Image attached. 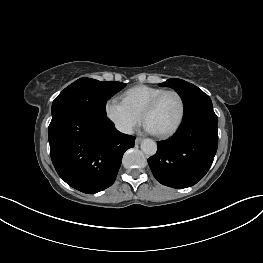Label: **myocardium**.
<instances>
[{"instance_id":"1","label":"myocardium","mask_w":263,"mask_h":263,"mask_svg":"<svg viewBox=\"0 0 263 263\" xmlns=\"http://www.w3.org/2000/svg\"><path fill=\"white\" fill-rule=\"evenodd\" d=\"M167 94H175L178 97L180 101L181 111H180V115H179L177 122L171 129L163 133H156L160 138H169L172 135H174L178 131V129L181 127L184 121V118H185V114H186V103H185V100L182 94L175 89H168V90H164L161 93H159L147 104V106L145 107L142 113V119L144 123L146 124L147 116L157 107L161 99Z\"/></svg>"}]
</instances>
